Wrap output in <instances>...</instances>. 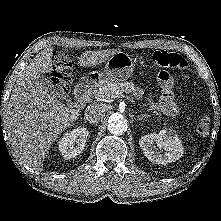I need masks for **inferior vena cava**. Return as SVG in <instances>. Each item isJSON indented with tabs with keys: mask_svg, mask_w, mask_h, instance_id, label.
Wrapping results in <instances>:
<instances>
[{
	"mask_svg": "<svg viewBox=\"0 0 221 221\" xmlns=\"http://www.w3.org/2000/svg\"><path fill=\"white\" fill-rule=\"evenodd\" d=\"M106 109L105 104L90 105L85 110V119L90 123H97L103 118Z\"/></svg>",
	"mask_w": 221,
	"mask_h": 221,
	"instance_id": "inferior-vena-cava-1",
	"label": "inferior vena cava"
}]
</instances>
